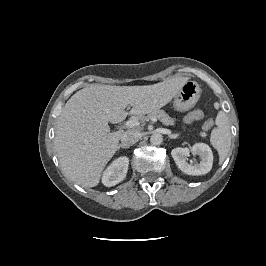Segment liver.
<instances>
[{
  "instance_id": "obj_1",
  "label": "liver",
  "mask_w": 266,
  "mask_h": 266,
  "mask_svg": "<svg viewBox=\"0 0 266 266\" xmlns=\"http://www.w3.org/2000/svg\"><path fill=\"white\" fill-rule=\"evenodd\" d=\"M188 80L175 77L147 86L91 84L76 92L58 118L54 146L65 176L84 187L99 184L124 131L110 132L128 114L142 116L166 105ZM131 106L128 113L125 108Z\"/></svg>"
}]
</instances>
